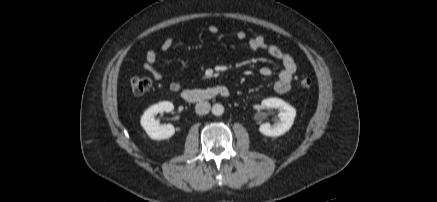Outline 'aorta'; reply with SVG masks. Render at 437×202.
Returning a JSON list of instances; mask_svg holds the SVG:
<instances>
[{
  "label": "aorta",
  "mask_w": 437,
  "mask_h": 202,
  "mask_svg": "<svg viewBox=\"0 0 437 202\" xmlns=\"http://www.w3.org/2000/svg\"><path fill=\"white\" fill-rule=\"evenodd\" d=\"M224 113V107L222 104H214L212 107V114L215 116H221Z\"/></svg>",
  "instance_id": "aorta-1"
}]
</instances>
